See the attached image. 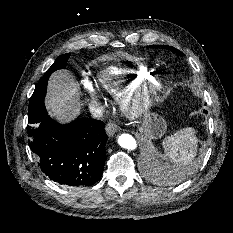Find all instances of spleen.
<instances>
[{
	"instance_id": "3e777b00",
	"label": "spleen",
	"mask_w": 233,
	"mask_h": 233,
	"mask_svg": "<svg viewBox=\"0 0 233 233\" xmlns=\"http://www.w3.org/2000/svg\"><path fill=\"white\" fill-rule=\"evenodd\" d=\"M197 143L194 129L187 127L167 136L163 141V148L166 156L176 164V169L182 170L195 158ZM167 173L172 174L171 171Z\"/></svg>"
}]
</instances>
